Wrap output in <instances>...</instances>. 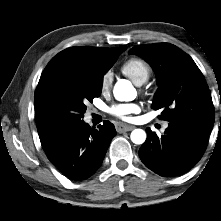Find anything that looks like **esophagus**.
<instances>
[{
    "mask_svg": "<svg viewBox=\"0 0 221 221\" xmlns=\"http://www.w3.org/2000/svg\"><path fill=\"white\" fill-rule=\"evenodd\" d=\"M115 127H116L117 132H119V133L131 131L135 128L132 125H126V124H122V123H116Z\"/></svg>",
    "mask_w": 221,
    "mask_h": 221,
    "instance_id": "34e87169",
    "label": "esophagus"
}]
</instances>
